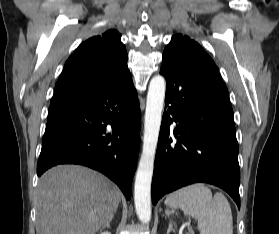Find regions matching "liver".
Wrapping results in <instances>:
<instances>
[{
	"label": "liver",
	"mask_w": 279,
	"mask_h": 234,
	"mask_svg": "<svg viewBox=\"0 0 279 234\" xmlns=\"http://www.w3.org/2000/svg\"><path fill=\"white\" fill-rule=\"evenodd\" d=\"M121 191L104 175L60 165L38 182L36 234H95L117 209Z\"/></svg>",
	"instance_id": "1"
}]
</instances>
